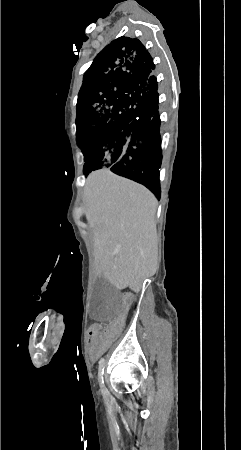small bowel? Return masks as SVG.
I'll use <instances>...</instances> for the list:
<instances>
[{
  "label": "small bowel",
  "mask_w": 241,
  "mask_h": 450,
  "mask_svg": "<svg viewBox=\"0 0 241 450\" xmlns=\"http://www.w3.org/2000/svg\"><path fill=\"white\" fill-rule=\"evenodd\" d=\"M121 307L123 308V309H128L129 307H130V302L128 301V300H123L122 302H121ZM119 317L120 318H125L126 317V312L125 311H120L119 312ZM114 326L115 327H111V328H109V330L107 329L105 332L108 334L109 333V335H111L109 338H108V341L110 342V343H113L114 341H115V338L113 337V336H116L117 334H118V329H121V328H123V326H124V323H123V321H121V320H118V321H116L115 323H114ZM118 328V329H117ZM97 333V330L94 328V327H89L88 329H87V334L89 335V336H94L95 334ZM103 348L104 347H102V346H100V345H95V344H93L92 346H91V348H90V351H89V353H90V356H91V358L92 359H97L100 355H101V353H102V351H103Z\"/></svg>",
  "instance_id": "1"
}]
</instances>
